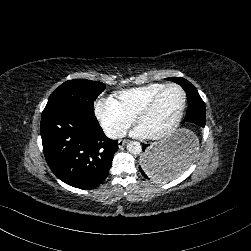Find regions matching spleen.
I'll return each instance as SVG.
<instances>
[{
    "label": "spleen",
    "instance_id": "spleen-1",
    "mask_svg": "<svg viewBox=\"0 0 251 251\" xmlns=\"http://www.w3.org/2000/svg\"><path fill=\"white\" fill-rule=\"evenodd\" d=\"M199 145V140L196 139L195 141V149L198 147ZM192 155V154H190ZM183 163H182V167L178 170L176 169H172V170H168L167 172H160V171H156L154 174V179L156 181H168L171 177H175L178 176V174L182 173V171L188 166V164L191 163V156H184L183 158ZM152 173V172H149Z\"/></svg>",
    "mask_w": 251,
    "mask_h": 251
}]
</instances>
